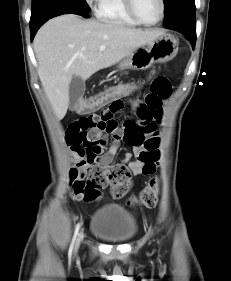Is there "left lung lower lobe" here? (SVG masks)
Returning <instances> with one entry per match:
<instances>
[{"mask_svg":"<svg viewBox=\"0 0 231 281\" xmlns=\"http://www.w3.org/2000/svg\"><path fill=\"white\" fill-rule=\"evenodd\" d=\"M168 28L176 29L184 33L190 40L193 48L196 43L195 11L181 13L165 23Z\"/></svg>","mask_w":231,"mask_h":281,"instance_id":"1","label":"left lung lower lobe"}]
</instances>
